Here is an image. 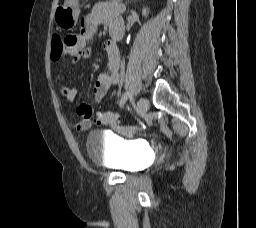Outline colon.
<instances>
[{
  "mask_svg": "<svg viewBox=\"0 0 256 228\" xmlns=\"http://www.w3.org/2000/svg\"><path fill=\"white\" fill-rule=\"evenodd\" d=\"M64 49V42L62 39L55 35L52 38L51 44V57L52 59L56 60L60 57ZM118 115L115 112H104L99 115L98 123L101 125L112 126L118 123Z\"/></svg>",
  "mask_w": 256,
  "mask_h": 228,
  "instance_id": "colon-1",
  "label": "colon"
}]
</instances>
